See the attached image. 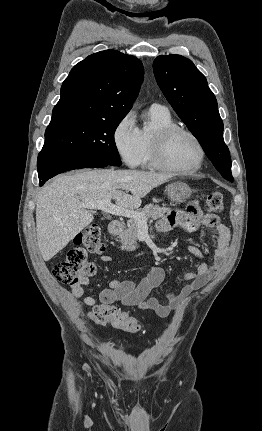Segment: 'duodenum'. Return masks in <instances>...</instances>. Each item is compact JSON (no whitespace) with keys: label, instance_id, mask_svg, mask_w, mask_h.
Wrapping results in <instances>:
<instances>
[{"label":"duodenum","instance_id":"duodenum-1","mask_svg":"<svg viewBox=\"0 0 262 431\" xmlns=\"http://www.w3.org/2000/svg\"><path fill=\"white\" fill-rule=\"evenodd\" d=\"M107 229H108V232L110 234L116 235V234H118L123 229V224L120 221H116V220L115 221H111L108 224Z\"/></svg>","mask_w":262,"mask_h":431}]
</instances>
